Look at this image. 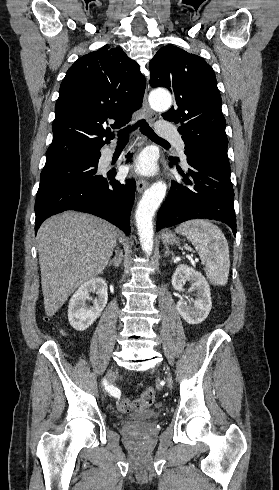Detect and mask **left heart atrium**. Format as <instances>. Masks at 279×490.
I'll list each match as a JSON object with an SVG mask.
<instances>
[{
  "instance_id": "1",
  "label": "left heart atrium",
  "mask_w": 279,
  "mask_h": 490,
  "mask_svg": "<svg viewBox=\"0 0 279 490\" xmlns=\"http://www.w3.org/2000/svg\"><path fill=\"white\" fill-rule=\"evenodd\" d=\"M131 169L142 177H152L158 171L154 159L148 153H142L131 165Z\"/></svg>"
}]
</instances>
